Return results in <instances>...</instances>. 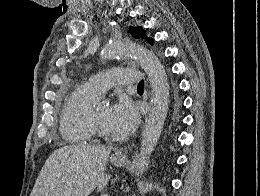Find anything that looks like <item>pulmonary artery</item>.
Wrapping results in <instances>:
<instances>
[{
    "mask_svg": "<svg viewBox=\"0 0 260 196\" xmlns=\"http://www.w3.org/2000/svg\"><path fill=\"white\" fill-rule=\"evenodd\" d=\"M138 69H102L99 76H94L90 79V84L94 85L92 88L100 96L109 90L110 84H139Z\"/></svg>",
    "mask_w": 260,
    "mask_h": 196,
    "instance_id": "pulmonary-artery-1",
    "label": "pulmonary artery"
}]
</instances>
